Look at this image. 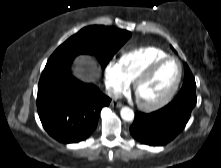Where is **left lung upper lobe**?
I'll list each match as a JSON object with an SVG mask.
<instances>
[{
  "label": "left lung upper lobe",
  "mask_w": 221,
  "mask_h": 168,
  "mask_svg": "<svg viewBox=\"0 0 221 168\" xmlns=\"http://www.w3.org/2000/svg\"><path fill=\"white\" fill-rule=\"evenodd\" d=\"M182 87H195L196 88L195 79L187 64H185L184 82H183Z\"/></svg>",
  "instance_id": "obj_1"
}]
</instances>
